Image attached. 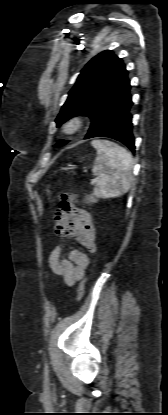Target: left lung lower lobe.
Returning <instances> with one entry per match:
<instances>
[{"label":"left lung lower lobe","mask_w":168,"mask_h":415,"mask_svg":"<svg viewBox=\"0 0 168 415\" xmlns=\"http://www.w3.org/2000/svg\"><path fill=\"white\" fill-rule=\"evenodd\" d=\"M130 84L127 88L115 96L92 122L85 139L94 137H109L125 144L132 152H135V139L132 133L133 105L130 95Z\"/></svg>","instance_id":"0a47b994"}]
</instances>
